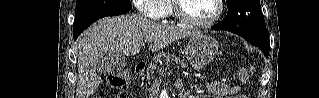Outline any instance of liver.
<instances>
[{
	"mask_svg": "<svg viewBox=\"0 0 319 98\" xmlns=\"http://www.w3.org/2000/svg\"><path fill=\"white\" fill-rule=\"evenodd\" d=\"M197 30L158 24L139 15H123L98 20L85 30L78 40V82L76 98H90L102 82L97 74L98 54L113 52L136 55L148 38L149 49L159 51L173 41L200 34Z\"/></svg>",
	"mask_w": 319,
	"mask_h": 98,
	"instance_id": "liver-1",
	"label": "liver"
}]
</instances>
